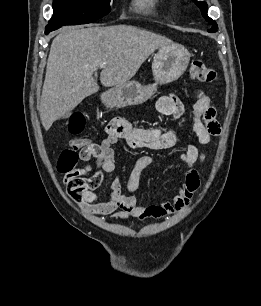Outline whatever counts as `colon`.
<instances>
[{
    "label": "colon",
    "mask_w": 261,
    "mask_h": 306,
    "mask_svg": "<svg viewBox=\"0 0 261 306\" xmlns=\"http://www.w3.org/2000/svg\"><path fill=\"white\" fill-rule=\"evenodd\" d=\"M190 76L192 80L198 83H212L217 80L216 72L207 67L202 60H193L190 65ZM69 132L73 135L80 134L85 127V118L81 113H75L69 120ZM84 156L101 160L103 151L100 145L90 142L85 138H73L70 141V148L64 150L59 158L58 168L60 172L66 174L65 182L70 197L75 202H81L82 192L91 187L92 184L80 175L79 170H75L78 161V153Z\"/></svg>",
    "instance_id": "5ec220e1"
}]
</instances>
